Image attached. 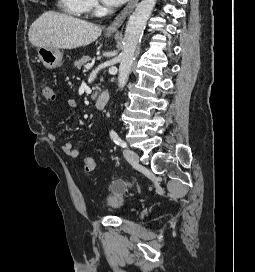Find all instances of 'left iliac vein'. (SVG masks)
<instances>
[{
	"instance_id": "1",
	"label": "left iliac vein",
	"mask_w": 255,
	"mask_h": 272,
	"mask_svg": "<svg viewBox=\"0 0 255 272\" xmlns=\"http://www.w3.org/2000/svg\"><path fill=\"white\" fill-rule=\"evenodd\" d=\"M123 154H124V157L126 158V160L130 164L136 165V164L139 163V157H138V154L135 151L130 150V149H124Z\"/></svg>"
}]
</instances>
